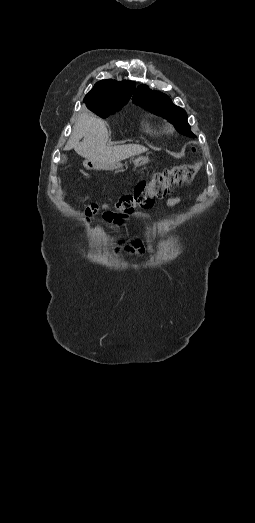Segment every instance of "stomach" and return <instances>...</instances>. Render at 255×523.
I'll use <instances>...</instances> for the list:
<instances>
[{
	"instance_id": "0dacf381",
	"label": "stomach",
	"mask_w": 255,
	"mask_h": 523,
	"mask_svg": "<svg viewBox=\"0 0 255 523\" xmlns=\"http://www.w3.org/2000/svg\"><path fill=\"white\" fill-rule=\"evenodd\" d=\"M148 162V158H135V160H133V164L136 166V168H139V166H144V164H148Z\"/></svg>"
}]
</instances>
